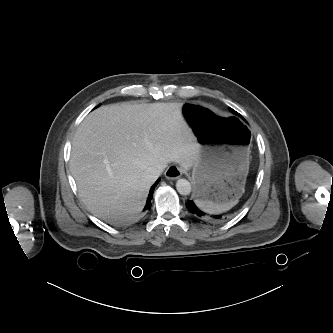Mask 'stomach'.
Wrapping results in <instances>:
<instances>
[{
	"label": "stomach",
	"mask_w": 333,
	"mask_h": 333,
	"mask_svg": "<svg viewBox=\"0 0 333 333\" xmlns=\"http://www.w3.org/2000/svg\"><path fill=\"white\" fill-rule=\"evenodd\" d=\"M181 124L200 145L192 170L194 196L216 204L237 203L249 170L250 130L201 102L183 106Z\"/></svg>",
	"instance_id": "obj_1"
}]
</instances>
